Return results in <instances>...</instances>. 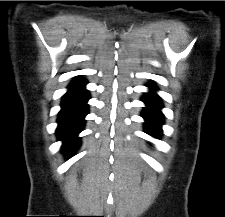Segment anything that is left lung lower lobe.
Segmentation results:
<instances>
[{"label": "left lung lower lobe", "instance_id": "0a47b994", "mask_svg": "<svg viewBox=\"0 0 225 217\" xmlns=\"http://www.w3.org/2000/svg\"><path fill=\"white\" fill-rule=\"evenodd\" d=\"M147 87L151 88L152 91L145 93L142 101L146 104L142 112V117L145 119L144 127L146 132L158 138L161 133V125L163 124V115L160 111L162 104L159 96L153 91L157 88L152 84H148Z\"/></svg>", "mask_w": 225, "mask_h": 217}]
</instances>
